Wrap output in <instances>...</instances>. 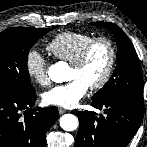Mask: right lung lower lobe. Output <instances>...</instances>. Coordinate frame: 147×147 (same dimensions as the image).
<instances>
[{
	"mask_svg": "<svg viewBox=\"0 0 147 147\" xmlns=\"http://www.w3.org/2000/svg\"><path fill=\"white\" fill-rule=\"evenodd\" d=\"M35 101L34 90L0 94V147H45L46 132L59 114L54 106L32 109Z\"/></svg>",
	"mask_w": 147,
	"mask_h": 147,
	"instance_id": "1",
	"label": "right lung lower lobe"
}]
</instances>
